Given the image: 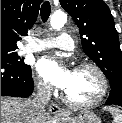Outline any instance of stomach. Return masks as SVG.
<instances>
[{"label":"stomach","mask_w":122,"mask_h":123,"mask_svg":"<svg viewBox=\"0 0 122 123\" xmlns=\"http://www.w3.org/2000/svg\"><path fill=\"white\" fill-rule=\"evenodd\" d=\"M63 123H101V119L92 111L82 110L77 116L62 118Z\"/></svg>","instance_id":"stomach-1"}]
</instances>
